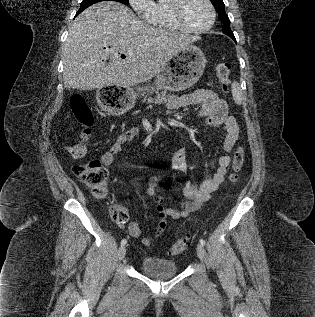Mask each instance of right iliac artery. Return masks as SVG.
I'll list each match as a JSON object with an SVG mask.
<instances>
[{
    "instance_id": "obj_1",
    "label": "right iliac artery",
    "mask_w": 315,
    "mask_h": 317,
    "mask_svg": "<svg viewBox=\"0 0 315 317\" xmlns=\"http://www.w3.org/2000/svg\"><path fill=\"white\" fill-rule=\"evenodd\" d=\"M126 243H127V240H126V239H123V240L121 241V246L125 245Z\"/></svg>"
}]
</instances>
